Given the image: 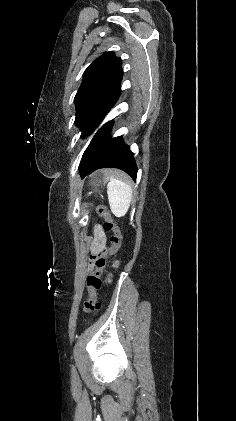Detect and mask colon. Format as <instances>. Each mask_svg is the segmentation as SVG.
Segmentation results:
<instances>
[{
	"mask_svg": "<svg viewBox=\"0 0 236 421\" xmlns=\"http://www.w3.org/2000/svg\"><path fill=\"white\" fill-rule=\"evenodd\" d=\"M89 206V204H88ZM99 216L104 219V229L113 233L112 245L108 249L93 255L90 260L89 274L86 279V286L88 289V298L84 301L83 311L85 314L93 313L99 310L100 305L97 301V291L102 285V275L105 271L107 258L114 255L122 244V233L120 228L111 217L108 209L103 205L94 206Z\"/></svg>",
	"mask_w": 236,
	"mask_h": 421,
	"instance_id": "colon-1",
	"label": "colon"
}]
</instances>
